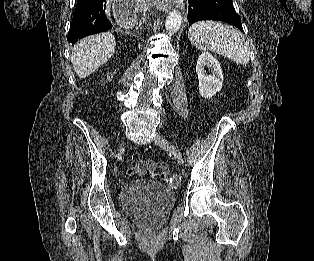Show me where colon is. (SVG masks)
Here are the masks:
<instances>
[{"label":"colon","instance_id":"obj_1","mask_svg":"<svg viewBox=\"0 0 314 261\" xmlns=\"http://www.w3.org/2000/svg\"><path fill=\"white\" fill-rule=\"evenodd\" d=\"M129 176H145L166 179L168 175V166L164 161L151 162L148 160H140L127 170Z\"/></svg>","mask_w":314,"mask_h":261}]
</instances>
